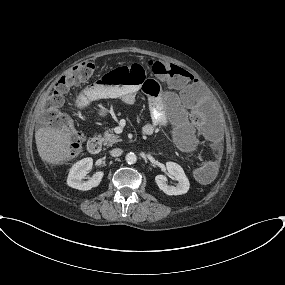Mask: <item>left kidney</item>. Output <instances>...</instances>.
Here are the masks:
<instances>
[{"label":"left kidney","instance_id":"obj_1","mask_svg":"<svg viewBox=\"0 0 285 285\" xmlns=\"http://www.w3.org/2000/svg\"><path fill=\"white\" fill-rule=\"evenodd\" d=\"M166 168L168 173L178 181L177 186H170L167 184V179L164 175H157L155 181L158 187L167 195H182L189 190V180L186 177L183 168L174 162H167Z\"/></svg>","mask_w":285,"mask_h":285}]
</instances>
